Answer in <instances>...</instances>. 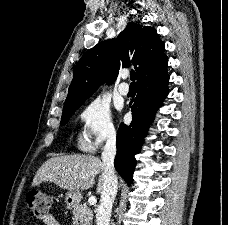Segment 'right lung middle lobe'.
Masks as SVG:
<instances>
[{
	"label": "right lung middle lobe",
	"mask_w": 228,
	"mask_h": 225,
	"mask_svg": "<svg viewBox=\"0 0 228 225\" xmlns=\"http://www.w3.org/2000/svg\"><path fill=\"white\" fill-rule=\"evenodd\" d=\"M82 104L83 102L64 107L61 117V125H65L69 120V116L75 112Z\"/></svg>",
	"instance_id": "dd1d6c3e"
}]
</instances>
